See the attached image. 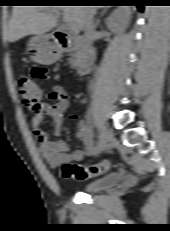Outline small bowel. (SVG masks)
Listing matches in <instances>:
<instances>
[{
    "instance_id": "obj_1",
    "label": "small bowel",
    "mask_w": 170,
    "mask_h": 231,
    "mask_svg": "<svg viewBox=\"0 0 170 231\" xmlns=\"http://www.w3.org/2000/svg\"><path fill=\"white\" fill-rule=\"evenodd\" d=\"M31 77L36 80H50L49 72L40 66L31 69ZM50 103H40L36 111H32L31 125L33 134L39 143V152L46 163L56 168L65 163L81 161L85 156L95 154L97 146L84 121L78 123L77 137L83 142V149H76L69 152L68 144L58 139L62 131V115L68 108V100L63 85H56L49 93ZM45 116H49L53 121V139H49L48 134L41 129V124Z\"/></svg>"
}]
</instances>
